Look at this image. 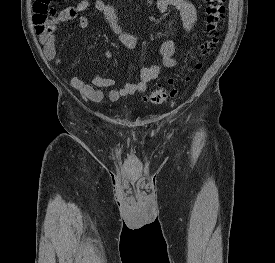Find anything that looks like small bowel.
<instances>
[{"label": "small bowel", "mask_w": 275, "mask_h": 263, "mask_svg": "<svg viewBox=\"0 0 275 263\" xmlns=\"http://www.w3.org/2000/svg\"><path fill=\"white\" fill-rule=\"evenodd\" d=\"M171 8L179 11L184 35L187 37L192 32L197 20L195 6L188 0L156 1V9L159 13H166ZM89 9H93L105 19L111 31L117 35L120 42L126 48L133 50L137 47L136 37L121 27L117 17V8L114 4L106 3L103 0H81L76 5L66 7L60 11L52 20L48 31L40 37L46 58L54 61L55 69L58 72H63L64 69L62 61L57 57V26L61 23L72 21L80 29L87 28L89 19L85 15V12ZM175 49L176 42L174 39L164 37L160 45V64L142 67L139 72L138 81L128 83L122 87L112 88L108 91H103L101 88L113 87L115 81L112 78L103 76L101 73H97L92 77L91 84L69 74H65L63 79L88 100L100 103L114 102L132 95L144 93L147 84L157 79L163 69L173 70L177 65L174 58ZM103 57L105 64L109 65L113 59V54L110 51H106Z\"/></svg>", "instance_id": "c3829d8e"}]
</instances>
